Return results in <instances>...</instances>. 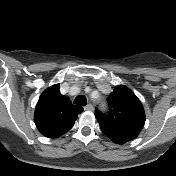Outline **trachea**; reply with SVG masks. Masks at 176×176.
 I'll use <instances>...</instances> for the list:
<instances>
[{
	"mask_svg": "<svg viewBox=\"0 0 176 176\" xmlns=\"http://www.w3.org/2000/svg\"><path fill=\"white\" fill-rule=\"evenodd\" d=\"M86 103H87V100L84 95H79L74 99V104H76V105L84 106V105H86Z\"/></svg>",
	"mask_w": 176,
	"mask_h": 176,
	"instance_id": "obj_1",
	"label": "trachea"
}]
</instances>
